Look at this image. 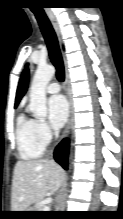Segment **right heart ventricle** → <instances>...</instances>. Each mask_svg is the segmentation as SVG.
<instances>
[{
  "mask_svg": "<svg viewBox=\"0 0 123 219\" xmlns=\"http://www.w3.org/2000/svg\"><path fill=\"white\" fill-rule=\"evenodd\" d=\"M16 143L18 153L23 160L40 158L45 150V144L39 136L37 121L20 114L16 124Z\"/></svg>",
  "mask_w": 123,
  "mask_h": 219,
  "instance_id": "obj_1",
  "label": "right heart ventricle"
}]
</instances>
